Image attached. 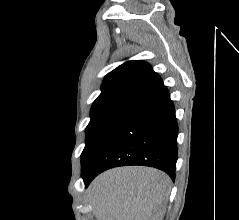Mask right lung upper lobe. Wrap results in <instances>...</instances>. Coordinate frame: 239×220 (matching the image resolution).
<instances>
[{
    "mask_svg": "<svg viewBox=\"0 0 239 220\" xmlns=\"http://www.w3.org/2000/svg\"><path fill=\"white\" fill-rule=\"evenodd\" d=\"M162 83L161 77L147 62L126 61L105 76L101 94L94 101L90 115L120 106H132Z\"/></svg>",
    "mask_w": 239,
    "mask_h": 220,
    "instance_id": "obj_1",
    "label": "right lung upper lobe"
}]
</instances>
